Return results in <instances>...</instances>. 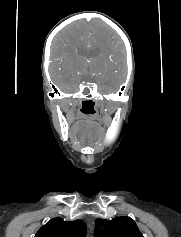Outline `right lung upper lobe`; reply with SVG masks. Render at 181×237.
Masks as SVG:
<instances>
[{"label": "right lung upper lobe", "instance_id": "1", "mask_svg": "<svg viewBox=\"0 0 181 237\" xmlns=\"http://www.w3.org/2000/svg\"><path fill=\"white\" fill-rule=\"evenodd\" d=\"M35 237H86V224L82 220L65 222L54 218L42 226Z\"/></svg>", "mask_w": 181, "mask_h": 237}]
</instances>
